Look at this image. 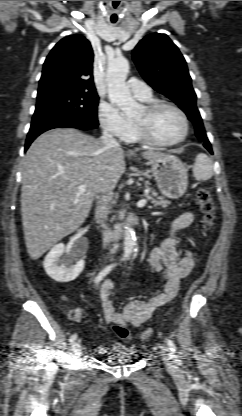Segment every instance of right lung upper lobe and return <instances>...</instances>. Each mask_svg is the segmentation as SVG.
<instances>
[{
    "mask_svg": "<svg viewBox=\"0 0 242 416\" xmlns=\"http://www.w3.org/2000/svg\"><path fill=\"white\" fill-rule=\"evenodd\" d=\"M93 50L83 36L71 35L58 42L47 56L38 95L59 89L96 92L93 81Z\"/></svg>",
    "mask_w": 242,
    "mask_h": 416,
    "instance_id": "obj_1",
    "label": "right lung upper lobe"
}]
</instances>
